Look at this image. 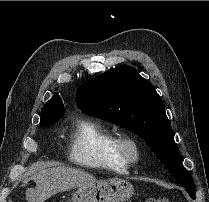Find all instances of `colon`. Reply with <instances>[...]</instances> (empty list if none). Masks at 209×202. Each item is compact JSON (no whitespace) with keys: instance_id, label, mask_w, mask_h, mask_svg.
I'll return each mask as SVG.
<instances>
[{"instance_id":"5ec220e1","label":"colon","mask_w":209,"mask_h":202,"mask_svg":"<svg viewBox=\"0 0 209 202\" xmlns=\"http://www.w3.org/2000/svg\"><path fill=\"white\" fill-rule=\"evenodd\" d=\"M144 202H169L168 198L157 197V198H148Z\"/></svg>"}]
</instances>
